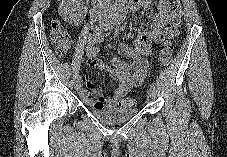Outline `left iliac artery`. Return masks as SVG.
Listing matches in <instances>:
<instances>
[{
    "label": "left iliac artery",
    "instance_id": "44dca946",
    "mask_svg": "<svg viewBox=\"0 0 227 157\" xmlns=\"http://www.w3.org/2000/svg\"><path fill=\"white\" fill-rule=\"evenodd\" d=\"M151 87L156 88V83L153 82V83L151 84Z\"/></svg>",
    "mask_w": 227,
    "mask_h": 157
}]
</instances>
